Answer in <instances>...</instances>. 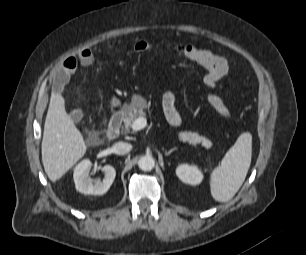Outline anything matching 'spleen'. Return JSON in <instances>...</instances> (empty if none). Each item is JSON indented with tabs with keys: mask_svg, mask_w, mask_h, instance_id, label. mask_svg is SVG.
<instances>
[{
	"mask_svg": "<svg viewBox=\"0 0 306 255\" xmlns=\"http://www.w3.org/2000/svg\"><path fill=\"white\" fill-rule=\"evenodd\" d=\"M251 157L252 135L243 132L210 175V190L214 200L227 202L234 197L246 178Z\"/></svg>",
	"mask_w": 306,
	"mask_h": 255,
	"instance_id": "3e777b00",
	"label": "spleen"
}]
</instances>
